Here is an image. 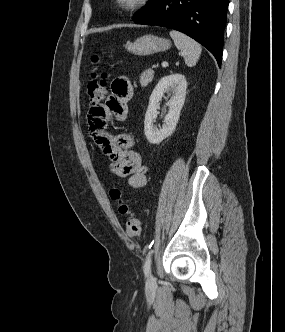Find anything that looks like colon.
I'll return each mask as SVG.
<instances>
[{
  "instance_id": "5ec220e1",
  "label": "colon",
  "mask_w": 285,
  "mask_h": 332,
  "mask_svg": "<svg viewBox=\"0 0 285 332\" xmlns=\"http://www.w3.org/2000/svg\"><path fill=\"white\" fill-rule=\"evenodd\" d=\"M93 71L91 80L87 85L88 102L91 107L100 105L107 93V73L102 69L104 65L98 54L91 57ZM110 198L118 204V211L122 215H127L126 233L130 238H137L141 232V220L131 211L130 207L124 202L122 191L118 186L110 190Z\"/></svg>"
}]
</instances>
